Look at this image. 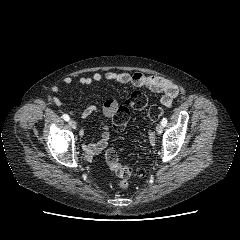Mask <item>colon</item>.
I'll return each instance as SVG.
<instances>
[{
	"label": "colon",
	"instance_id": "obj_1",
	"mask_svg": "<svg viewBox=\"0 0 240 240\" xmlns=\"http://www.w3.org/2000/svg\"><path fill=\"white\" fill-rule=\"evenodd\" d=\"M148 105L146 95L141 91H134L131 93L127 105L118 107L115 115L113 116V125L118 132H122L130 118V108L136 110H143ZM164 111L161 107L153 105L147 111V117L151 121L158 120ZM105 161L110 168L120 179L117 186L121 190L129 187V179L133 176L143 177L145 170L142 168H135L128 165H122L119 162L118 154L114 149H108L105 152Z\"/></svg>",
	"mask_w": 240,
	"mask_h": 240
}]
</instances>
